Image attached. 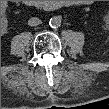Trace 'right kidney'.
<instances>
[{
	"label": "right kidney",
	"mask_w": 109,
	"mask_h": 109,
	"mask_svg": "<svg viewBox=\"0 0 109 109\" xmlns=\"http://www.w3.org/2000/svg\"><path fill=\"white\" fill-rule=\"evenodd\" d=\"M6 28V26L3 25V30Z\"/></svg>",
	"instance_id": "obj_1"
}]
</instances>
